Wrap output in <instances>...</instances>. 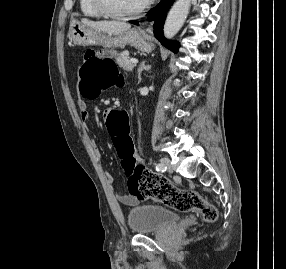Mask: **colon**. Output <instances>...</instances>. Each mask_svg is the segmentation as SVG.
Masks as SVG:
<instances>
[{
	"mask_svg": "<svg viewBox=\"0 0 286 269\" xmlns=\"http://www.w3.org/2000/svg\"><path fill=\"white\" fill-rule=\"evenodd\" d=\"M117 49H92L85 53L79 70V88L82 95L91 99L100 91L112 85H120L121 77L116 65L110 60L116 57ZM107 116L113 155H118L122 168L128 177L130 194L140 199L154 198L178 211L199 210L203 220L215 221L218 217L215 207L200 194L193 191H179L158 175L144 169V163H137L136 141L131 137L128 124L132 123L130 111L124 106H111Z\"/></svg>",
	"mask_w": 286,
	"mask_h": 269,
	"instance_id": "1",
	"label": "colon"
}]
</instances>
